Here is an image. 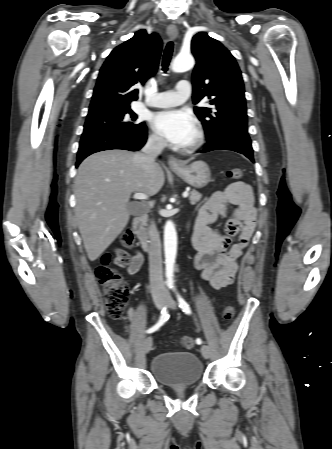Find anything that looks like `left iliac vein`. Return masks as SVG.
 Masks as SVG:
<instances>
[{
  "label": "left iliac vein",
  "instance_id": "obj_1",
  "mask_svg": "<svg viewBox=\"0 0 332 449\" xmlns=\"http://www.w3.org/2000/svg\"><path fill=\"white\" fill-rule=\"evenodd\" d=\"M166 302L167 305L169 306V308L171 309H176L177 304L176 302L172 299V297L169 295V293L166 294ZM201 353L203 355L204 358L208 359L210 357V348L207 345H202L201 347Z\"/></svg>",
  "mask_w": 332,
  "mask_h": 449
}]
</instances>
